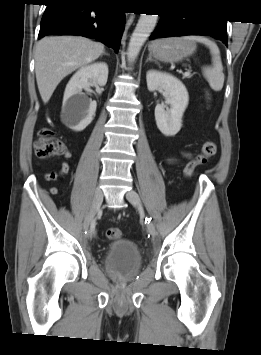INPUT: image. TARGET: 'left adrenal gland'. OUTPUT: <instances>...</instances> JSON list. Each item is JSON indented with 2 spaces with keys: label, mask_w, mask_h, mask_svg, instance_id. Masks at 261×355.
I'll return each instance as SVG.
<instances>
[{
  "label": "left adrenal gland",
  "mask_w": 261,
  "mask_h": 355,
  "mask_svg": "<svg viewBox=\"0 0 261 355\" xmlns=\"http://www.w3.org/2000/svg\"><path fill=\"white\" fill-rule=\"evenodd\" d=\"M148 61H154V60L152 59L151 55H149V57L147 58L146 62H148Z\"/></svg>",
  "instance_id": "obj_1"
}]
</instances>
